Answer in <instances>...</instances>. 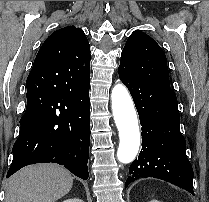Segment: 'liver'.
Here are the masks:
<instances>
[{"label":"liver","mask_w":209,"mask_h":202,"mask_svg":"<svg viewBox=\"0 0 209 202\" xmlns=\"http://www.w3.org/2000/svg\"><path fill=\"white\" fill-rule=\"evenodd\" d=\"M73 177L56 164L25 167L5 185V202H55L69 193Z\"/></svg>","instance_id":"1"}]
</instances>
